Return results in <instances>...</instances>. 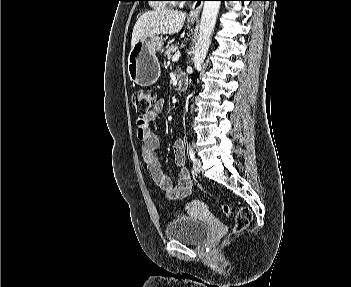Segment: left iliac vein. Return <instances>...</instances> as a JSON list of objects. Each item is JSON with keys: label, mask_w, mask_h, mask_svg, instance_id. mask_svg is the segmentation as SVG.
Instances as JSON below:
<instances>
[{"label": "left iliac vein", "mask_w": 351, "mask_h": 287, "mask_svg": "<svg viewBox=\"0 0 351 287\" xmlns=\"http://www.w3.org/2000/svg\"><path fill=\"white\" fill-rule=\"evenodd\" d=\"M201 160L199 158H195V160L193 161V169L195 170V172L199 173L201 171Z\"/></svg>", "instance_id": "4c4485c4"}]
</instances>
